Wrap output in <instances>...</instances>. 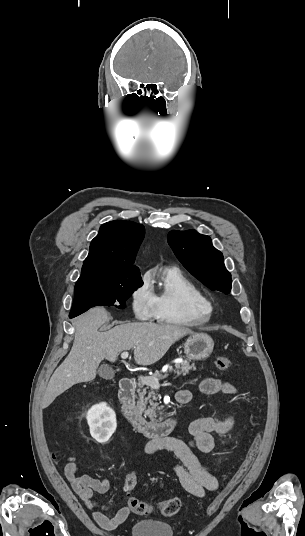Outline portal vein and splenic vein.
I'll return each mask as SVG.
<instances>
[{
  "instance_id": "portal-vein-and-splenic-vein-1",
  "label": "portal vein and splenic vein",
  "mask_w": 305,
  "mask_h": 536,
  "mask_svg": "<svg viewBox=\"0 0 305 536\" xmlns=\"http://www.w3.org/2000/svg\"><path fill=\"white\" fill-rule=\"evenodd\" d=\"M129 356V352H123V354H121V358L122 360H126V358H128ZM176 364H178V362H182V360H175ZM166 372V370H165ZM162 378H165V376H162ZM139 380H142V382H144V384H148V382H150L151 386H153V388H159L160 384H159V380L160 378H144V376H140Z\"/></svg>"
}]
</instances>
